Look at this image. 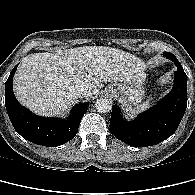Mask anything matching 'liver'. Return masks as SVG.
Listing matches in <instances>:
<instances>
[{
	"label": "liver",
	"instance_id": "1",
	"mask_svg": "<svg viewBox=\"0 0 195 195\" xmlns=\"http://www.w3.org/2000/svg\"><path fill=\"white\" fill-rule=\"evenodd\" d=\"M146 64L120 49L85 46L55 53H34L22 59L13 80L18 101L32 112L55 116L66 111L78 97L74 89L85 86L89 98L103 83L129 82L145 71Z\"/></svg>",
	"mask_w": 195,
	"mask_h": 195
}]
</instances>
